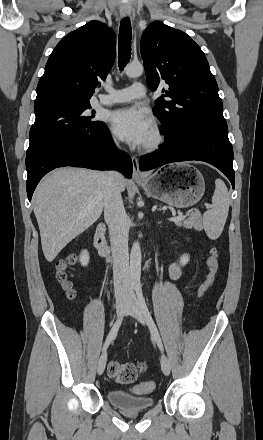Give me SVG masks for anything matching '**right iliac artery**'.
I'll list each match as a JSON object with an SVG mask.
<instances>
[{
  "instance_id": "82829eb1",
  "label": "right iliac artery",
  "mask_w": 263,
  "mask_h": 440,
  "mask_svg": "<svg viewBox=\"0 0 263 440\" xmlns=\"http://www.w3.org/2000/svg\"><path fill=\"white\" fill-rule=\"evenodd\" d=\"M123 317H124V314L116 320L113 327L111 328V330L106 338V341L103 345V351H105L108 348V346L110 345V343L116 338L118 330L122 324Z\"/></svg>"
}]
</instances>
